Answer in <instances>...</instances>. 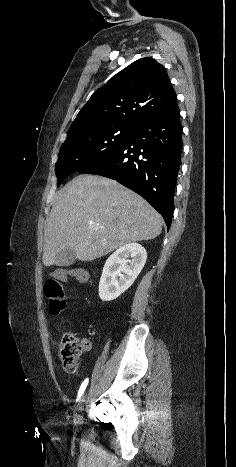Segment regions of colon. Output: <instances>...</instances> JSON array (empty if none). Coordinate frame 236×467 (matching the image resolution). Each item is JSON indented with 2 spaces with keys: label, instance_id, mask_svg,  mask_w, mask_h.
Segmentation results:
<instances>
[{
  "label": "colon",
  "instance_id": "1",
  "mask_svg": "<svg viewBox=\"0 0 236 467\" xmlns=\"http://www.w3.org/2000/svg\"><path fill=\"white\" fill-rule=\"evenodd\" d=\"M68 278L84 283L88 279V271L82 267L57 268L54 270L52 278L44 286L48 309L52 315H58L66 307L61 282ZM85 345L86 341L84 339H79L72 333L67 332L61 335L58 341V350L60 361L66 371L74 372L77 370L80 357L85 351Z\"/></svg>",
  "mask_w": 236,
  "mask_h": 467
}]
</instances>
